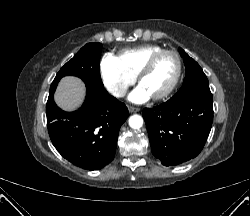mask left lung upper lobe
<instances>
[{
    "label": "left lung upper lobe",
    "instance_id": "5c2ea615",
    "mask_svg": "<svg viewBox=\"0 0 250 216\" xmlns=\"http://www.w3.org/2000/svg\"><path fill=\"white\" fill-rule=\"evenodd\" d=\"M179 53L184 60L186 74L181 88L169 100L177 101L191 96L212 97L208 79L198 63L192 59L182 48H179Z\"/></svg>",
    "mask_w": 250,
    "mask_h": 216
}]
</instances>
